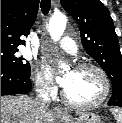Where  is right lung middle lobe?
<instances>
[{"instance_id":"right-lung-middle-lobe-1","label":"right lung middle lobe","mask_w":122,"mask_h":123,"mask_svg":"<svg viewBox=\"0 0 122 123\" xmlns=\"http://www.w3.org/2000/svg\"><path fill=\"white\" fill-rule=\"evenodd\" d=\"M14 49H1V64L12 67L20 72L30 74L31 68L29 63H23L24 58L16 57Z\"/></svg>"}]
</instances>
